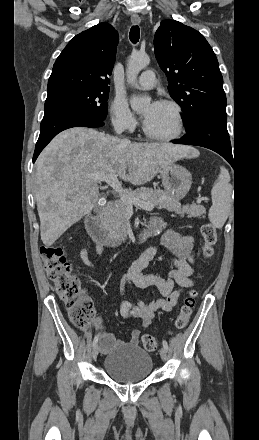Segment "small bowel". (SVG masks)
Here are the masks:
<instances>
[{"instance_id": "obj_1", "label": "small bowel", "mask_w": 259, "mask_h": 440, "mask_svg": "<svg viewBox=\"0 0 259 440\" xmlns=\"http://www.w3.org/2000/svg\"><path fill=\"white\" fill-rule=\"evenodd\" d=\"M152 219L156 220L160 227L168 226L167 222L160 217H153ZM96 247L97 255L100 256L105 246L96 243ZM161 252L168 254L172 264L167 277L157 274L144 275L142 273L143 269ZM80 258L87 266L95 265V261L89 258L87 247L82 248ZM194 263L193 238L189 235H182L173 227H169L161 239V245L148 248L133 262L123 275L120 284L122 295H125L126 291L132 286L140 288L155 287L163 298L152 302L138 300L135 303L124 300L120 305V314L124 318L138 319L144 329L148 328L158 310L171 311L178 304L184 289L193 285ZM95 328L100 329L101 352L107 353L111 349L123 345V341L116 339L112 333L103 328L100 319L95 322ZM140 335L141 331L139 329H133L129 337V344L137 345Z\"/></svg>"}]
</instances>
